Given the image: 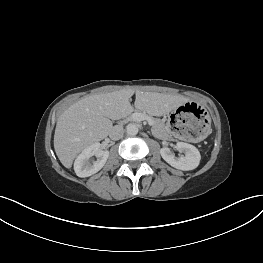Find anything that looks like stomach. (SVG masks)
<instances>
[{
  "mask_svg": "<svg viewBox=\"0 0 263 263\" xmlns=\"http://www.w3.org/2000/svg\"><path fill=\"white\" fill-rule=\"evenodd\" d=\"M169 127L176 138L190 145L205 141L211 130L207 112L194 103H187L176 109L170 117Z\"/></svg>",
  "mask_w": 263,
  "mask_h": 263,
  "instance_id": "obj_1",
  "label": "stomach"
}]
</instances>
